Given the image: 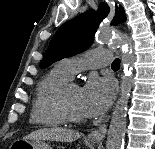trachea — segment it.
<instances>
[{
	"instance_id": "1",
	"label": "trachea",
	"mask_w": 155,
	"mask_h": 149,
	"mask_svg": "<svg viewBox=\"0 0 155 149\" xmlns=\"http://www.w3.org/2000/svg\"><path fill=\"white\" fill-rule=\"evenodd\" d=\"M113 69H119L120 68V59H115L112 63V66H111Z\"/></svg>"
}]
</instances>
